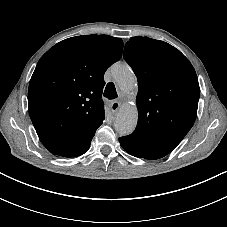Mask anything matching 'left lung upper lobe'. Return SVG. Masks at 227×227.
Here are the masks:
<instances>
[{"label": "left lung upper lobe", "instance_id": "1", "mask_svg": "<svg viewBox=\"0 0 227 227\" xmlns=\"http://www.w3.org/2000/svg\"><path fill=\"white\" fill-rule=\"evenodd\" d=\"M124 58L138 80L139 117L128 137L170 153L194 124L199 83L189 60L172 45L148 37H132Z\"/></svg>", "mask_w": 227, "mask_h": 227}]
</instances>
